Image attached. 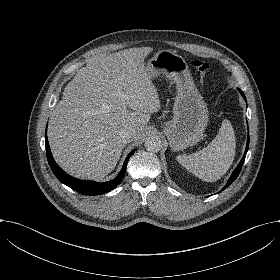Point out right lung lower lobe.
I'll list each match as a JSON object with an SVG mask.
<instances>
[{
	"label": "right lung lower lobe",
	"mask_w": 280,
	"mask_h": 280,
	"mask_svg": "<svg viewBox=\"0 0 280 280\" xmlns=\"http://www.w3.org/2000/svg\"><path fill=\"white\" fill-rule=\"evenodd\" d=\"M45 141H46V153H47V159L48 163L55 174V176L65 185L69 186L73 190L77 191L80 194L83 195H100L103 193H106L110 190H112L114 187L118 186L121 180L123 179L125 172H126V167H127V162L129 158L134 154V151H132L127 158L125 159L124 165L122 167V170L120 173L117 175L116 178L113 180H110L108 182L104 183H97L93 181H84V180H79L76 178L71 177L70 175L66 174L54 161L53 156L50 151L49 143H48V138H47V130L45 131Z\"/></svg>",
	"instance_id": "obj_1"
}]
</instances>
